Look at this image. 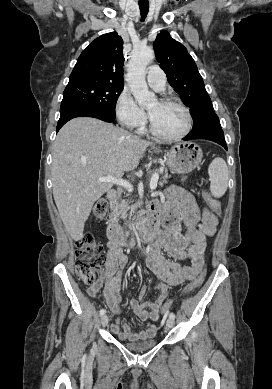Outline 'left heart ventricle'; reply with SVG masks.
<instances>
[{"instance_id":"b2bd125f","label":"left heart ventricle","mask_w":272,"mask_h":389,"mask_svg":"<svg viewBox=\"0 0 272 389\" xmlns=\"http://www.w3.org/2000/svg\"><path fill=\"white\" fill-rule=\"evenodd\" d=\"M156 129L165 135H177L186 126L184 112L176 105L154 101L147 109Z\"/></svg>"}]
</instances>
